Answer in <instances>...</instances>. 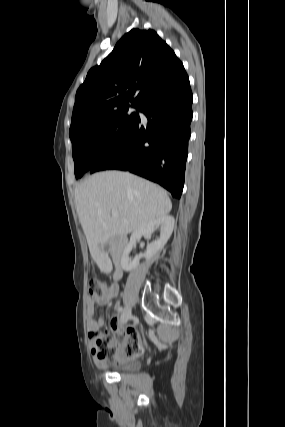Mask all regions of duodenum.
<instances>
[{
  "label": "duodenum",
  "mask_w": 285,
  "mask_h": 427,
  "mask_svg": "<svg viewBox=\"0 0 285 427\" xmlns=\"http://www.w3.org/2000/svg\"><path fill=\"white\" fill-rule=\"evenodd\" d=\"M116 275H117V276H120V272H119V271H117V272H116Z\"/></svg>",
  "instance_id": "410a0bca"
}]
</instances>
